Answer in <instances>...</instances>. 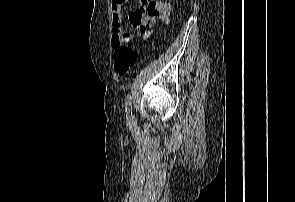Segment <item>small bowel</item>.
Returning a JSON list of instances; mask_svg holds the SVG:
<instances>
[{
	"label": "small bowel",
	"mask_w": 295,
	"mask_h": 202,
	"mask_svg": "<svg viewBox=\"0 0 295 202\" xmlns=\"http://www.w3.org/2000/svg\"><path fill=\"white\" fill-rule=\"evenodd\" d=\"M129 7V0H113L112 4V45H121L122 19ZM171 13V4L168 1L139 0V5L129 13L131 26L141 34H146L154 27L156 20L166 21Z\"/></svg>",
	"instance_id": "1"
}]
</instances>
